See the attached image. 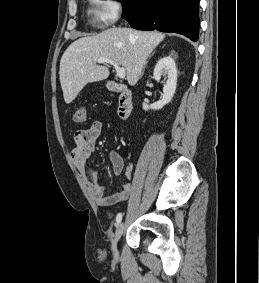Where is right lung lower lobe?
Masks as SVG:
<instances>
[{
	"mask_svg": "<svg viewBox=\"0 0 259 283\" xmlns=\"http://www.w3.org/2000/svg\"><path fill=\"white\" fill-rule=\"evenodd\" d=\"M123 18L139 30L199 36V0H121Z\"/></svg>",
	"mask_w": 259,
	"mask_h": 283,
	"instance_id": "right-lung-lower-lobe-1",
	"label": "right lung lower lobe"
}]
</instances>
